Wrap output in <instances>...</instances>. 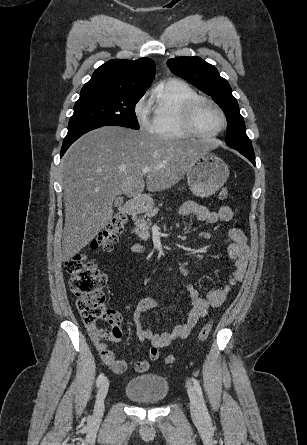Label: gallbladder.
I'll return each instance as SVG.
<instances>
[{"label": "gallbladder", "mask_w": 307, "mask_h": 445, "mask_svg": "<svg viewBox=\"0 0 307 445\" xmlns=\"http://www.w3.org/2000/svg\"><path fill=\"white\" fill-rule=\"evenodd\" d=\"M123 204V196L117 195L114 198V201L112 202V207L115 210L120 209L121 205Z\"/></svg>", "instance_id": "bac80fb5"}]
</instances>
